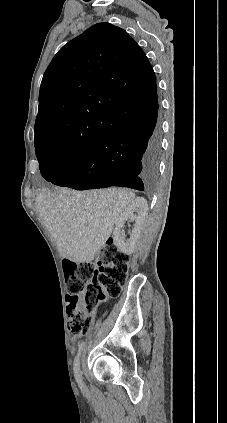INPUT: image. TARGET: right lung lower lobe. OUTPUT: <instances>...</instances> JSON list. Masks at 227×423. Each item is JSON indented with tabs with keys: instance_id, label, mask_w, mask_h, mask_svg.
<instances>
[{
	"instance_id": "98d812e1",
	"label": "right lung lower lobe",
	"mask_w": 227,
	"mask_h": 423,
	"mask_svg": "<svg viewBox=\"0 0 227 423\" xmlns=\"http://www.w3.org/2000/svg\"><path fill=\"white\" fill-rule=\"evenodd\" d=\"M157 86L147 100L116 104L107 114L127 127L100 136L86 156L66 168L39 165L42 176L58 186L76 190L120 186L151 190L156 182L161 151Z\"/></svg>"
}]
</instances>
